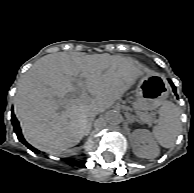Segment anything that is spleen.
Returning <instances> with one entry per match:
<instances>
[{"label":"spleen","instance_id":"obj_1","mask_svg":"<svg viewBox=\"0 0 194 193\" xmlns=\"http://www.w3.org/2000/svg\"><path fill=\"white\" fill-rule=\"evenodd\" d=\"M181 130L180 110L170 101H164L159 110L158 124L153 128V134L158 143L165 148L174 145Z\"/></svg>","mask_w":194,"mask_h":193}]
</instances>
